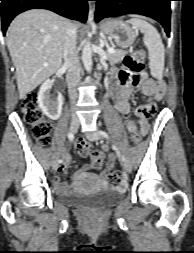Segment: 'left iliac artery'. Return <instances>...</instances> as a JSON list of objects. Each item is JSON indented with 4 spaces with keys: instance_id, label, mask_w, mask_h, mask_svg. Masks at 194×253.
Listing matches in <instances>:
<instances>
[{
    "instance_id": "obj_1",
    "label": "left iliac artery",
    "mask_w": 194,
    "mask_h": 253,
    "mask_svg": "<svg viewBox=\"0 0 194 253\" xmlns=\"http://www.w3.org/2000/svg\"><path fill=\"white\" fill-rule=\"evenodd\" d=\"M98 132H99V134H100L101 136H103L104 138L110 139V137H109V135L107 134V132L102 131V130H100V131H98ZM113 149L117 152V154H118L120 160H121L122 162H126L125 157H124L123 155L120 154L118 148H117L116 146H113Z\"/></svg>"
}]
</instances>
